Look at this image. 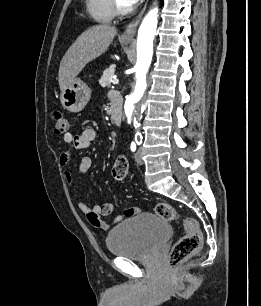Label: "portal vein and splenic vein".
Returning <instances> with one entry per match:
<instances>
[{
  "label": "portal vein and splenic vein",
  "mask_w": 261,
  "mask_h": 306,
  "mask_svg": "<svg viewBox=\"0 0 261 306\" xmlns=\"http://www.w3.org/2000/svg\"><path fill=\"white\" fill-rule=\"evenodd\" d=\"M112 83H113V84H118V83H119V80H118V79H113V80H112Z\"/></svg>",
  "instance_id": "obj_1"
}]
</instances>
